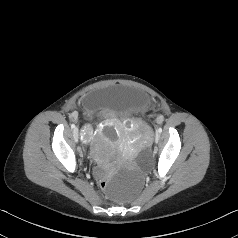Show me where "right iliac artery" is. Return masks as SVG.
<instances>
[{
	"label": "right iliac artery",
	"instance_id": "82829eb1",
	"mask_svg": "<svg viewBox=\"0 0 238 238\" xmlns=\"http://www.w3.org/2000/svg\"><path fill=\"white\" fill-rule=\"evenodd\" d=\"M71 128L74 129V128H75V125H74V124H71Z\"/></svg>",
	"mask_w": 238,
	"mask_h": 238
}]
</instances>
